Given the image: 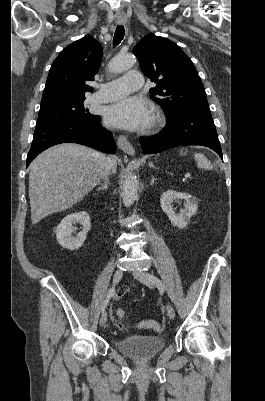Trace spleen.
Returning <instances> with one entry per match:
<instances>
[{"instance_id":"spleen-1","label":"spleen","mask_w":265,"mask_h":401,"mask_svg":"<svg viewBox=\"0 0 265 401\" xmlns=\"http://www.w3.org/2000/svg\"><path fill=\"white\" fill-rule=\"evenodd\" d=\"M194 158L197 160V166H199V168H212L210 160H208L204 154H201V152H196Z\"/></svg>"}]
</instances>
